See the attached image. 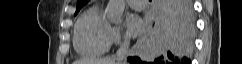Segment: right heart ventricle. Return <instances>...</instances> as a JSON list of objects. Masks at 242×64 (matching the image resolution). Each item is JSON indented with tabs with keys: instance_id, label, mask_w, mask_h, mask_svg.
I'll return each mask as SVG.
<instances>
[{
	"instance_id": "e07e8e85",
	"label": "right heart ventricle",
	"mask_w": 242,
	"mask_h": 64,
	"mask_svg": "<svg viewBox=\"0 0 242 64\" xmlns=\"http://www.w3.org/2000/svg\"><path fill=\"white\" fill-rule=\"evenodd\" d=\"M110 25L101 8L91 6L76 21L73 31V47L82 57L95 58L105 54L109 47Z\"/></svg>"
}]
</instances>
